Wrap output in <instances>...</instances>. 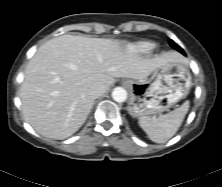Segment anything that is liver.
Masks as SVG:
<instances>
[{
  "instance_id": "6515ba94",
  "label": "liver",
  "mask_w": 222,
  "mask_h": 187,
  "mask_svg": "<svg viewBox=\"0 0 222 187\" xmlns=\"http://www.w3.org/2000/svg\"><path fill=\"white\" fill-rule=\"evenodd\" d=\"M174 61L185 60L175 51L147 58L134 48L124 50L119 40L61 35L40 46L26 67L20 88L23 116L42 136L67 138L91 111L92 86L108 90L119 77L145 80Z\"/></svg>"
}]
</instances>
